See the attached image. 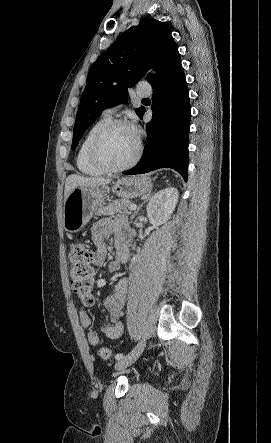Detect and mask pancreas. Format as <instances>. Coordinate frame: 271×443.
<instances>
[{"label":"pancreas","mask_w":271,"mask_h":443,"mask_svg":"<svg viewBox=\"0 0 271 443\" xmlns=\"http://www.w3.org/2000/svg\"><path fill=\"white\" fill-rule=\"evenodd\" d=\"M131 206L128 200H114L113 204H108V206H102V208H98L96 212V216H114V214H132V212H128V208Z\"/></svg>","instance_id":"pancreas-1"}]
</instances>
